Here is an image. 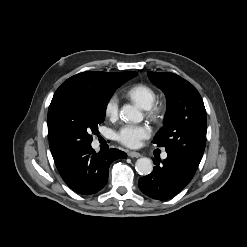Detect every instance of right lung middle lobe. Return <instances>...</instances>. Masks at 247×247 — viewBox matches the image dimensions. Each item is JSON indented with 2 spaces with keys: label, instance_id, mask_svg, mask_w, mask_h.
I'll list each match as a JSON object with an SVG mask.
<instances>
[{
  "label": "right lung middle lobe",
  "instance_id": "dd1d6c3e",
  "mask_svg": "<svg viewBox=\"0 0 247 247\" xmlns=\"http://www.w3.org/2000/svg\"><path fill=\"white\" fill-rule=\"evenodd\" d=\"M137 75L134 72L127 80ZM115 89L98 91L89 88L64 87L55 92L48 110V131L66 149L91 145L98 132L106 107Z\"/></svg>",
  "mask_w": 247,
  "mask_h": 247
}]
</instances>
